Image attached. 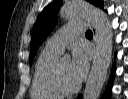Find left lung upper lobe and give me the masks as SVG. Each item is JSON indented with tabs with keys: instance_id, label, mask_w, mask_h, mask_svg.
Wrapping results in <instances>:
<instances>
[{
	"instance_id": "left-lung-upper-lobe-1",
	"label": "left lung upper lobe",
	"mask_w": 128,
	"mask_h": 99,
	"mask_svg": "<svg viewBox=\"0 0 128 99\" xmlns=\"http://www.w3.org/2000/svg\"><path fill=\"white\" fill-rule=\"evenodd\" d=\"M89 2L95 6H99L102 3L101 0H89ZM61 5V0H56L53 3L49 4L43 9L37 21L35 22L30 44V64L36 54L38 47L41 45L43 40L49 35V33L53 30L57 22L58 11Z\"/></svg>"
}]
</instances>
